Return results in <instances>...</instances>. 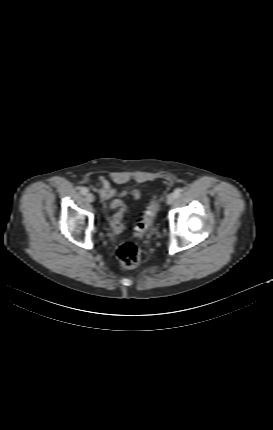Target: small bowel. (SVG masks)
Returning <instances> with one entry per match:
<instances>
[{
    "label": "small bowel",
    "instance_id": "small-bowel-1",
    "mask_svg": "<svg viewBox=\"0 0 273 430\" xmlns=\"http://www.w3.org/2000/svg\"><path fill=\"white\" fill-rule=\"evenodd\" d=\"M95 191L99 196L104 199H110L114 196L124 197L131 195L133 198L138 199L140 197V192L136 189L133 190H117L111 187L109 181L105 177H100L98 182L94 186Z\"/></svg>",
    "mask_w": 273,
    "mask_h": 430
}]
</instances>
